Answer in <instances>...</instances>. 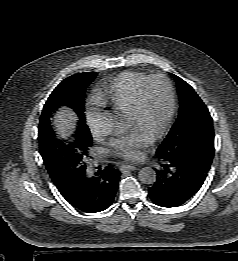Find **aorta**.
Instances as JSON below:
<instances>
[{"label":"aorta","mask_w":238,"mask_h":261,"mask_svg":"<svg viewBox=\"0 0 238 261\" xmlns=\"http://www.w3.org/2000/svg\"><path fill=\"white\" fill-rule=\"evenodd\" d=\"M129 128V122L126 118L116 115L107 114L103 120V129L107 133H120ZM139 180L144 184H153L156 181V172L151 167H144L139 171Z\"/></svg>","instance_id":"obj_1"}]
</instances>
